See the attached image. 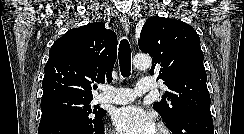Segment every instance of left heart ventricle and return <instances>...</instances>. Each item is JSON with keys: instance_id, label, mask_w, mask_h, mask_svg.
Listing matches in <instances>:
<instances>
[{"instance_id": "left-heart-ventricle-1", "label": "left heart ventricle", "mask_w": 244, "mask_h": 134, "mask_svg": "<svg viewBox=\"0 0 244 134\" xmlns=\"http://www.w3.org/2000/svg\"><path fill=\"white\" fill-rule=\"evenodd\" d=\"M155 134H159L157 130H156Z\"/></svg>"}]
</instances>
